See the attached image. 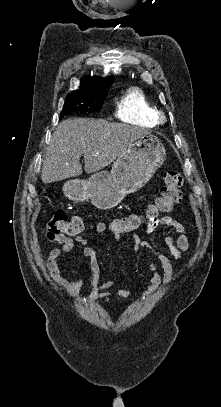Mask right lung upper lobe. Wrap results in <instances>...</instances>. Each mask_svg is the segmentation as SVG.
Masks as SVG:
<instances>
[{
    "label": "right lung upper lobe",
    "instance_id": "obj_1",
    "mask_svg": "<svg viewBox=\"0 0 221 407\" xmlns=\"http://www.w3.org/2000/svg\"><path fill=\"white\" fill-rule=\"evenodd\" d=\"M113 81V77L101 78L97 76H87L81 80L80 89L74 90L73 92H93L104 90L110 88Z\"/></svg>",
    "mask_w": 221,
    "mask_h": 407
}]
</instances>
